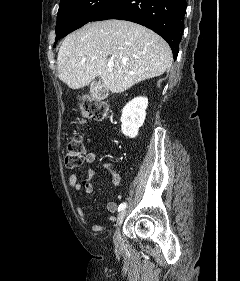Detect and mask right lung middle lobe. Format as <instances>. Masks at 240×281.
<instances>
[{
    "label": "right lung middle lobe",
    "mask_w": 240,
    "mask_h": 281,
    "mask_svg": "<svg viewBox=\"0 0 240 281\" xmlns=\"http://www.w3.org/2000/svg\"><path fill=\"white\" fill-rule=\"evenodd\" d=\"M116 0H61L57 15L56 40L94 21Z\"/></svg>",
    "instance_id": "obj_1"
}]
</instances>
